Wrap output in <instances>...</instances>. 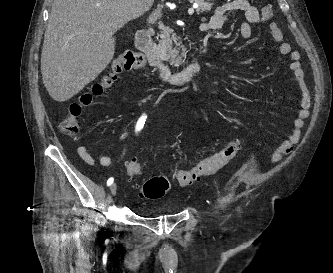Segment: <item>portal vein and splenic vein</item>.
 I'll return each instance as SVG.
<instances>
[{
  "mask_svg": "<svg viewBox=\"0 0 333 273\" xmlns=\"http://www.w3.org/2000/svg\"><path fill=\"white\" fill-rule=\"evenodd\" d=\"M197 7H198V5L194 4L191 8L188 9V14L192 15L194 13V9L197 8Z\"/></svg>",
  "mask_w": 333,
  "mask_h": 273,
  "instance_id": "obj_1",
  "label": "portal vein and splenic vein"
}]
</instances>
